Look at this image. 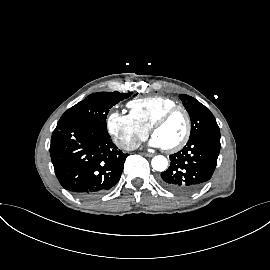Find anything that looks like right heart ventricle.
<instances>
[{
	"instance_id": "right-heart-ventricle-1",
	"label": "right heart ventricle",
	"mask_w": 270,
	"mask_h": 270,
	"mask_svg": "<svg viewBox=\"0 0 270 270\" xmlns=\"http://www.w3.org/2000/svg\"><path fill=\"white\" fill-rule=\"evenodd\" d=\"M176 105L175 100L162 96L138 98L128 103L130 114L148 130L164 111Z\"/></svg>"
}]
</instances>
